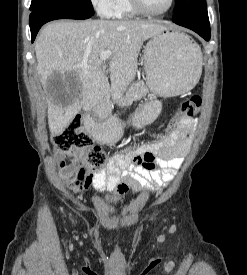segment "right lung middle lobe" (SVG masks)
Instances as JSON below:
<instances>
[{
	"label": "right lung middle lobe",
	"mask_w": 247,
	"mask_h": 275,
	"mask_svg": "<svg viewBox=\"0 0 247 275\" xmlns=\"http://www.w3.org/2000/svg\"><path fill=\"white\" fill-rule=\"evenodd\" d=\"M66 9L77 13L94 15L91 0H32L30 10Z\"/></svg>",
	"instance_id": "right-lung-middle-lobe-1"
}]
</instances>
